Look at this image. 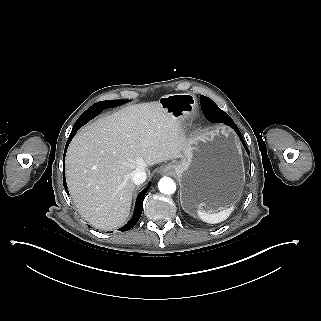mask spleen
<instances>
[{"mask_svg": "<svg viewBox=\"0 0 321 321\" xmlns=\"http://www.w3.org/2000/svg\"><path fill=\"white\" fill-rule=\"evenodd\" d=\"M233 211H234V206L232 205L229 208H226L218 213H208L202 210H198L197 215L203 222H206L209 224H217L226 220Z\"/></svg>", "mask_w": 321, "mask_h": 321, "instance_id": "3e777b00", "label": "spleen"}]
</instances>
